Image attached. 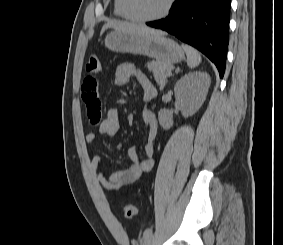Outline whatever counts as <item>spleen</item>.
I'll return each instance as SVG.
<instances>
[{"instance_id":"3e777b00","label":"spleen","mask_w":283,"mask_h":245,"mask_svg":"<svg viewBox=\"0 0 283 245\" xmlns=\"http://www.w3.org/2000/svg\"><path fill=\"white\" fill-rule=\"evenodd\" d=\"M182 48L187 55V65L190 68H195L201 63V55L199 52L189 45H182Z\"/></svg>"}]
</instances>
